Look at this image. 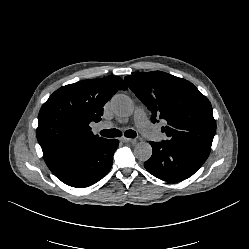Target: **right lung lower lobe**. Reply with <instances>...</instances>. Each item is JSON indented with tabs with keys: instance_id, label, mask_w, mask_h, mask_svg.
Segmentation results:
<instances>
[{
	"instance_id": "obj_1",
	"label": "right lung lower lobe",
	"mask_w": 249,
	"mask_h": 249,
	"mask_svg": "<svg viewBox=\"0 0 249 249\" xmlns=\"http://www.w3.org/2000/svg\"><path fill=\"white\" fill-rule=\"evenodd\" d=\"M118 145L117 139H104L96 146L74 153L61 163L50 167V170L69 186H90L109 172Z\"/></svg>"
}]
</instances>
